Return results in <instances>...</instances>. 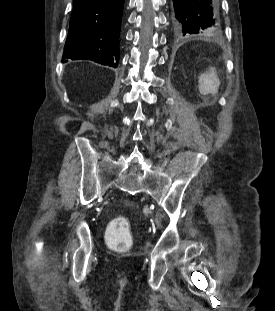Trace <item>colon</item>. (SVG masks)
I'll return each mask as SVG.
<instances>
[{
	"instance_id": "5ec220e1",
	"label": "colon",
	"mask_w": 275,
	"mask_h": 311,
	"mask_svg": "<svg viewBox=\"0 0 275 311\" xmlns=\"http://www.w3.org/2000/svg\"><path fill=\"white\" fill-rule=\"evenodd\" d=\"M107 240L111 246L119 250H127L131 247L132 239L127 220L124 217H117L110 223Z\"/></svg>"
}]
</instances>
